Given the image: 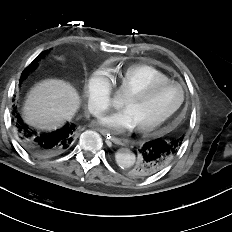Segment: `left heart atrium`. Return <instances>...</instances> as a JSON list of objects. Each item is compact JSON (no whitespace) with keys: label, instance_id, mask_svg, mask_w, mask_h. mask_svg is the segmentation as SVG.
Returning a JSON list of instances; mask_svg holds the SVG:
<instances>
[{"label":"left heart atrium","instance_id":"1","mask_svg":"<svg viewBox=\"0 0 232 232\" xmlns=\"http://www.w3.org/2000/svg\"><path fill=\"white\" fill-rule=\"evenodd\" d=\"M99 124L115 134H122L136 127L133 116L127 110L102 116L99 119Z\"/></svg>","mask_w":232,"mask_h":232}]
</instances>
